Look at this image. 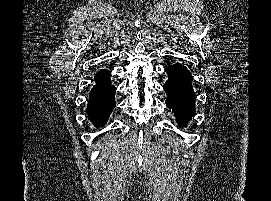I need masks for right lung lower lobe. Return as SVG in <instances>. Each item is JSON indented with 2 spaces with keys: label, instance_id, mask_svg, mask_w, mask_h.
Returning a JSON list of instances; mask_svg holds the SVG:
<instances>
[{
  "label": "right lung lower lobe",
  "instance_id": "98d812e1",
  "mask_svg": "<svg viewBox=\"0 0 271 201\" xmlns=\"http://www.w3.org/2000/svg\"><path fill=\"white\" fill-rule=\"evenodd\" d=\"M110 72L103 69L95 76L86 113L96 127H102L107 122L110 113L115 107V87L109 79Z\"/></svg>",
  "mask_w": 271,
  "mask_h": 201
}]
</instances>
